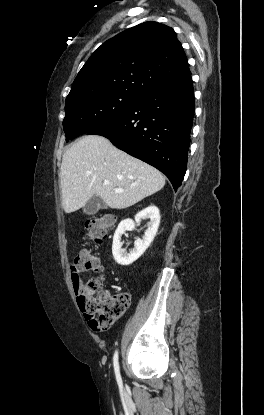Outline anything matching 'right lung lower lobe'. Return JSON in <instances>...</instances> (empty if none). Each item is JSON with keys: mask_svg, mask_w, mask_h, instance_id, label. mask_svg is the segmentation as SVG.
<instances>
[{"mask_svg": "<svg viewBox=\"0 0 264 415\" xmlns=\"http://www.w3.org/2000/svg\"><path fill=\"white\" fill-rule=\"evenodd\" d=\"M193 116L190 75L147 92L127 112L87 135L104 136L117 148L156 167L177 190L187 168Z\"/></svg>", "mask_w": 264, "mask_h": 415, "instance_id": "1", "label": "right lung lower lobe"}]
</instances>
